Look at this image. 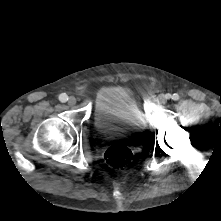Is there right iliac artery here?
I'll return each mask as SVG.
<instances>
[{
	"instance_id": "82829eb1",
	"label": "right iliac artery",
	"mask_w": 221,
	"mask_h": 221,
	"mask_svg": "<svg viewBox=\"0 0 221 221\" xmlns=\"http://www.w3.org/2000/svg\"><path fill=\"white\" fill-rule=\"evenodd\" d=\"M59 100L61 102H66L68 100V96L65 93L59 95Z\"/></svg>"
}]
</instances>
